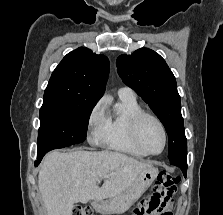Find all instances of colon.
<instances>
[{
	"label": "colon",
	"instance_id": "colon-1",
	"mask_svg": "<svg viewBox=\"0 0 223 215\" xmlns=\"http://www.w3.org/2000/svg\"><path fill=\"white\" fill-rule=\"evenodd\" d=\"M179 178L166 171H161L157 177V184L162 190H166L168 193H173L176 190V185ZM166 207L163 204L152 203L150 199L142 202L140 208L135 212L137 215L153 214V215H165ZM73 215H93L92 210L89 207L77 206L73 210Z\"/></svg>",
	"mask_w": 223,
	"mask_h": 215
}]
</instances>
